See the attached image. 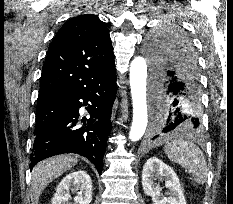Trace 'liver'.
<instances>
[{
  "label": "liver",
  "mask_w": 233,
  "mask_h": 204,
  "mask_svg": "<svg viewBox=\"0 0 233 204\" xmlns=\"http://www.w3.org/2000/svg\"><path fill=\"white\" fill-rule=\"evenodd\" d=\"M77 158L72 155H58L37 164L32 171V195L35 204L45 187L58 176L77 164Z\"/></svg>",
  "instance_id": "6515ba94"
}]
</instances>
